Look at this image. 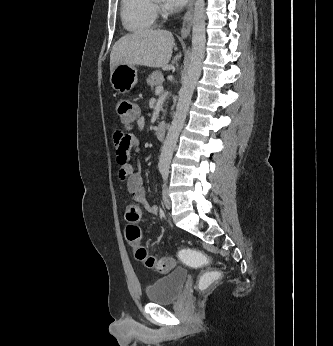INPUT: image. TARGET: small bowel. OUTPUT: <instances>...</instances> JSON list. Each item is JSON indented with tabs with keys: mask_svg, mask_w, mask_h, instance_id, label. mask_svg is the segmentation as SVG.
Listing matches in <instances>:
<instances>
[{
	"mask_svg": "<svg viewBox=\"0 0 333 346\" xmlns=\"http://www.w3.org/2000/svg\"><path fill=\"white\" fill-rule=\"evenodd\" d=\"M138 129L141 131L145 125V119L141 115L137 120ZM114 142L116 146V161L119 166V177L124 182L126 190L132 195L135 203L142 204L150 214H157L158 207L148 202L146 191L143 186L141 174L129 161L132 151L138 152L140 147V138L138 135H125L117 130L114 133Z\"/></svg>",
	"mask_w": 333,
	"mask_h": 346,
	"instance_id": "obj_1",
	"label": "small bowel"
}]
</instances>
